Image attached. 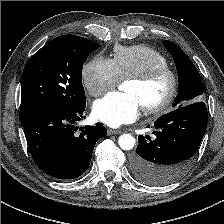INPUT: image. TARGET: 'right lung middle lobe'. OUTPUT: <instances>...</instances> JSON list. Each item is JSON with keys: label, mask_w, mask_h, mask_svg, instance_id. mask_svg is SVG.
Listing matches in <instances>:
<instances>
[{"label": "right lung middle lobe", "mask_w": 224, "mask_h": 224, "mask_svg": "<svg viewBox=\"0 0 224 224\" xmlns=\"http://www.w3.org/2000/svg\"><path fill=\"white\" fill-rule=\"evenodd\" d=\"M99 44L75 35L59 36L38 50L22 77L20 117L41 108H75L86 103L82 68Z\"/></svg>", "instance_id": "1"}]
</instances>
